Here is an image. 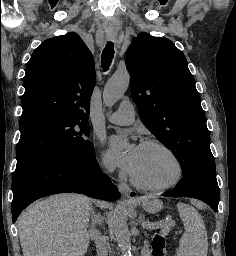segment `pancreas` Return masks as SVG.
<instances>
[{"label":"pancreas","instance_id":"cf45deb5","mask_svg":"<svg viewBox=\"0 0 236 256\" xmlns=\"http://www.w3.org/2000/svg\"><path fill=\"white\" fill-rule=\"evenodd\" d=\"M148 224H152V222H148ZM145 230H158V226H154V224H152V226H148Z\"/></svg>","mask_w":236,"mask_h":256}]
</instances>
